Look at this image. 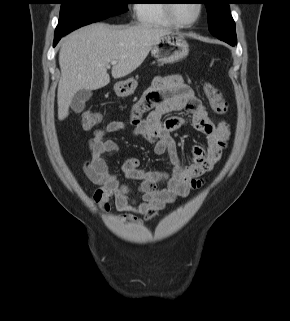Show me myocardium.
Listing matches in <instances>:
<instances>
[{"label": "myocardium", "instance_id": "myocardium-1", "mask_svg": "<svg viewBox=\"0 0 290 321\" xmlns=\"http://www.w3.org/2000/svg\"><path fill=\"white\" fill-rule=\"evenodd\" d=\"M165 3H166L165 9H166V13H167L168 17L173 22V24L178 27L187 28V27H191V26L195 25L199 21V19L202 16V13H203V4L200 1H196V4H197L196 17L190 22H183V21H180L174 14L175 3L173 2V0H166Z\"/></svg>", "mask_w": 290, "mask_h": 321}]
</instances>
